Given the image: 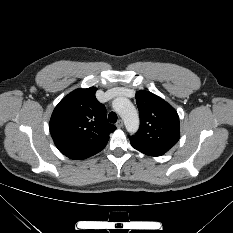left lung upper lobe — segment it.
I'll return each instance as SVG.
<instances>
[{
    "label": "left lung upper lobe",
    "mask_w": 233,
    "mask_h": 233,
    "mask_svg": "<svg viewBox=\"0 0 233 233\" xmlns=\"http://www.w3.org/2000/svg\"><path fill=\"white\" fill-rule=\"evenodd\" d=\"M136 102L139 109L140 128L129 136L131 145L150 156H161L179 140V117L175 109L162 98L138 91Z\"/></svg>",
    "instance_id": "left-lung-upper-lobe-1"
}]
</instances>
